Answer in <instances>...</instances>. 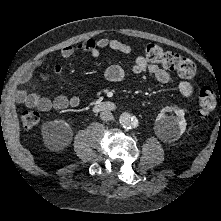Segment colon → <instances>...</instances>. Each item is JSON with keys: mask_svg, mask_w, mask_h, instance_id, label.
<instances>
[{"mask_svg": "<svg viewBox=\"0 0 221 221\" xmlns=\"http://www.w3.org/2000/svg\"><path fill=\"white\" fill-rule=\"evenodd\" d=\"M146 58L151 63L160 64L167 70L176 71L179 76L190 79L196 75L195 63L175 52L165 50L158 44H148L145 48ZM199 115L208 116L216 107V94L210 87H203L199 92ZM39 115L35 111L26 110L21 114V123L26 129L37 126Z\"/></svg>", "mask_w": 221, "mask_h": 221, "instance_id": "obj_1", "label": "colon"}]
</instances>
